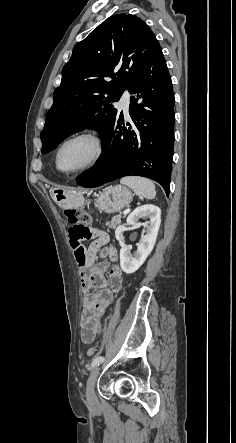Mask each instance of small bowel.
Returning a JSON list of instances; mask_svg holds the SVG:
<instances>
[{"label":"small bowel","instance_id":"c3829d8e","mask_svg":"<svg viewBox=\"0 0 236 443\" xmlns=\"http://www.w3.org/2000/svg\"><path fill=\"white\" fill-rule=\"evenodd\" d=\"M93 242L85 249L80 239L70 236V243L74 249L76 264L81 277V287L85 291L81 314V338L84 343L93 342L102 326V318L111 305L114 293L123 285V272L117 264L119 253L116 247L107 245L106 233L96 230L93 232ZM97 255L107 258V262L96 263ZM108 269V277L104 272ZM96 286L97 292L90 289Z\"/></svg>","mask_w":236,"mask_h":443}]
</instances>
